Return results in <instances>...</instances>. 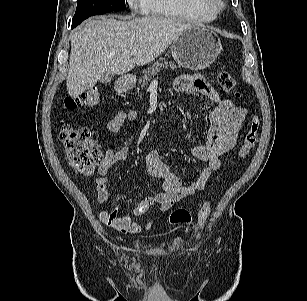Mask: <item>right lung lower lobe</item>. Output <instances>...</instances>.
<instances>
[{"label": "right lung lower lobe", "instance_id": "obj_1", "mask_svg": "<svg viewBox=\"0 0 307 301\" xmlns=\"http://www.w3.org/2000/svg\"><path fill=\"white\" fill-rule=\"evenodd\" d=\"M77 25H75V24H72V26H71V28L73 29L74 27H76Z\"/></svg>", "mask_w": 307, "mask_h": 301}]
</instances>
